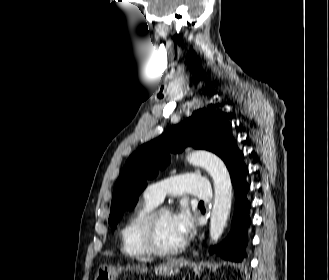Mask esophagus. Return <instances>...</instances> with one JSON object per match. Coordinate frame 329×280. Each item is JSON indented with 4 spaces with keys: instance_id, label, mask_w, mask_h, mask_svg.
Masks as SVG:
<instances>
[{
    "instance_id": "obj_1",
    "label": "esophagus",
    "mask_w": 329,
    "mask_h": 280,
    "mask_svg": "<svg viewBox=\"0 0 329 280\" xmlns=\"http://www.w3.org/2000/svg\"><path fill=\"white\" fill-rule=\"evenodd\" d=\"M197 254V252L196 251H193V255H196Z\"/></svg>"
}]
</instances>
